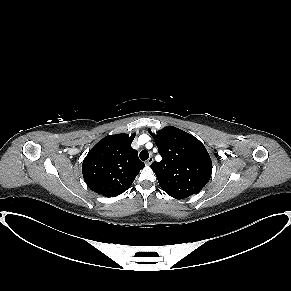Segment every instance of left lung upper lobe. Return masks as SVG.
Returning a JSON list of instances; mask_svg holds the SVG:
<instances>
[{"instance_id": "left-lung-upper-lobe-1", "label": "left lung upper lobe", "mask_w": 291, "mask_h": 291, "mask_svg": "<svg viewBox=\"0 0 291 291\" xmlns=\"http://www.w3.org/2000/svg\"><path fill=\"white\" fill-rule=\"evenodd\" d=\"M148 131L162 156L161 162L151 164L160 187L177 199L198 193L212 174V161L201 141L173 126L157 134Z\"/></svg>"}]
</instances>
